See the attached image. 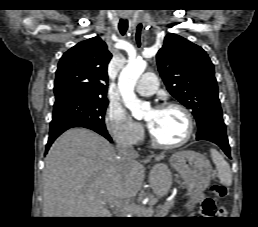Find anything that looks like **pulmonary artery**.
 Returning <instances> with one entry per match:
<instances>
[{
    "label": "pulmonary artery",
    "mask_w": 258,
    "mask_h": 227,
    "mask_svg": "<svg viewBox=\"0 0 258 227\" xmlns=\"http://www.w3.org/2000/svg\"><path fill=\"white\" fill-rule=\"evenodd\" d=\"M157 78L153 73H145L136 85V91L142 96H151L157 89Z\"/></svg>",
    "instance_id": "e3ab8cb5"
}]
</instances>
